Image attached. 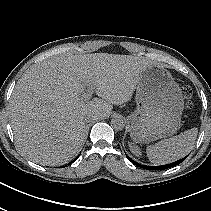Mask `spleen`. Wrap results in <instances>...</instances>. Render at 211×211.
<instances>
[{"label": "spleen", "instance_id": "1", "mask_svg": "<svg viewBox=\"0 0 211 211\" xmlns=\"http://www.w3.org/2000/svg\"><path fill=\"white\" fill-rule=\"evenodd\" d=\"M197 134L198 129L194 127L178 136L149 145L146 149L148 159L153 164L163 165L183 158L193 149Z\"/></svg>", "mask_w": 211, "mask_h": 211}]
</instances>
